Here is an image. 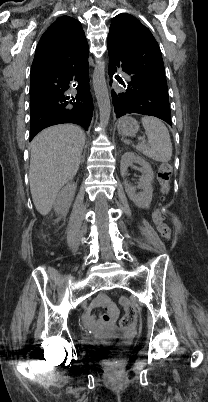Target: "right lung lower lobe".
I'll return each instance as SVG.
<instances>
[{
	"label": "right lung lower lobe",
	"mask_w": 208,
	"mask_h": 402,
	"mask_svg": "<svg viewBox=\"0 0 208 402\" xmlns=\"http://www.w3.org/2000/svg\"><path fill=\"white\" fill-rule=\"evenodd\" d=\"M89 47L60 65L31 70L30 82V141L42 129L62 123L90 126L93 101L89 89ZM77 82L75 97L66 91L70 81Z\"/></svg>",
	"instance_id": "right-lung-lower-lobe-1"
}]
</instances>
